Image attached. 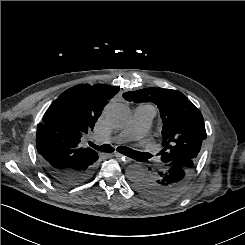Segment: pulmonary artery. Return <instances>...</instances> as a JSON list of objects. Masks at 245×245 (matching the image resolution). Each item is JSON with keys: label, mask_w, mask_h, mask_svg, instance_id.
<instances>
[{"label": "pulmonary artery", "mask_w": 245, "mask_h": 245, "mask_svg": "<svg viewBox=\"0 0 245 245\" xmlns=\"http://www.w3.org/2000/svg\"><path fill=\"white\" fill-rule=\"evenodd\" d=\"M156 109L151 105H139L134 109L133 117L128 126L113 138L116 142H127L142 137L149 129Z\"/></svg>", "instance_id": "e3ab8cb5"}]
</instances>
